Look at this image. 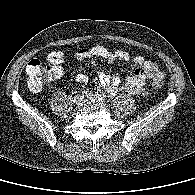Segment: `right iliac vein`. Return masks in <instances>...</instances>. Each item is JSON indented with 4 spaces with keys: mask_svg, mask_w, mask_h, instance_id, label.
Returning <instances> with one entry per match:
<instances>
[{
    "mask_svg": "<svg viewBox=\"0 0 195 195\" xmlns=\"http://www.w3.org/2000/svg\"><path fill=\"white\" fill-rule=\"evenodd\" d=\"M84 99V96L82 94L76 95L74 98V103L80 104Z\"/></svg>",
    "mask_w": 195,
    "mask_h": 195,
    "instance_id": "obj_1",
    "label": "right iliac vein"
}]
</instances>
